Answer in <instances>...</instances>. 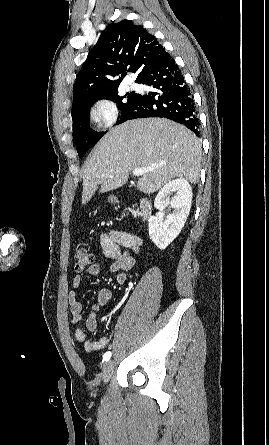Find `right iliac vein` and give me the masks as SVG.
<instances>
[{
  "label": "right iliac vein",
  "mask_w": 269,
  "mask_h": 445,
  "mask_svg": "<svg viewBox=\"0 0 269 445\" xmlns=\"http://www.w3.org/2000/svg\"><path fill=\"white\" fill-rule=\"evenodd\" d=\"M114 370V363L112 360L108 361L105 363L104 368H103V373H102V378L104 383H107L110 376L112 375Z\"/></svg>",
  "instance_id": "obj_1"
}]
</instances>
